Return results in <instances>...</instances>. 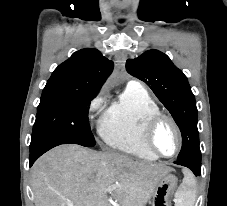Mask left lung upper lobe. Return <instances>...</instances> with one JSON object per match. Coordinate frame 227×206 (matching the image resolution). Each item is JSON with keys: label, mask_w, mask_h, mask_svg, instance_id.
I'll return each instance as SVG.
<instances>
[{"label": "left lung upper lobe", "mask_w": 227, "mask_h": 206, "mask_svg": "<svg viewBox=\"0 0 227 206\" xmlns=\"http://www.w3.org/2000/svg\"><path fill=\"white\" fill-rule=\"evenodd\" d=\"M128 73L144 81L169 110L182 135V148L177 160L201 162L197 107L187 77L170 58L149 50L126 61Z\"/></svg>", "instance_id": "obj_1"}]
</instances>
